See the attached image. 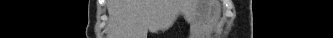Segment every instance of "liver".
Instances as JSON below:
<instances>
[{
  "mask_svg": "<svg viewBox=\"0 0 333 38\" xmlns=\"http://www.w3.org/2000/svg\"><path fill=\"white\" fill-rule=\"evenodd\" d=\"M161 5L158 1L155 0H144L142 5V10L145 12H155L161 10Z\"/></svg>",
  "mask_w": 333,
  "mask_h": 38,
  "instance_id": "liver-1",
  "label": "liver"
}]
</instances>
